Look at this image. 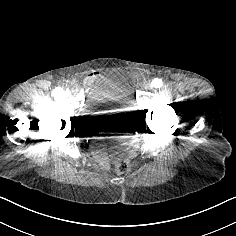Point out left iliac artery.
<instances>
[{"label":"left iliac artery","mask_w":236,"mask_h":236,"mask_svg":"<svg viewBox=\"0 0 236 236\" xmlns=\"http://www.w3.org/2000/svg\"><path fill=\"white\" fill-rule=\"evenodd\" d=\"M162 85H163L162 79L155 78V79L151 82V86H152V87H155V88H160V87H162Z\"/></svg>","instance_id":"obj_1"}]
</instances>
